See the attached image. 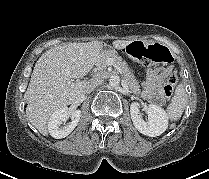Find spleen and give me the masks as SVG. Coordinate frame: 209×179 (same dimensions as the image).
<instances>
[{"mask_svg":"<svg viewBox=\"0 0 209 179\" xmlns=\"http://www.w3.org/2000/svg\"><path fill=\"white\" fill-rule=\"evenodd\" d=\"M187 94L183 84L176 87L175 94L167 107V117L171 121H177L181 118L186 107Z\"/></svg>","mask_w":209,"mask_h":179,"instance_id":"3e777b00","label":"spleen"}]
</instances>
